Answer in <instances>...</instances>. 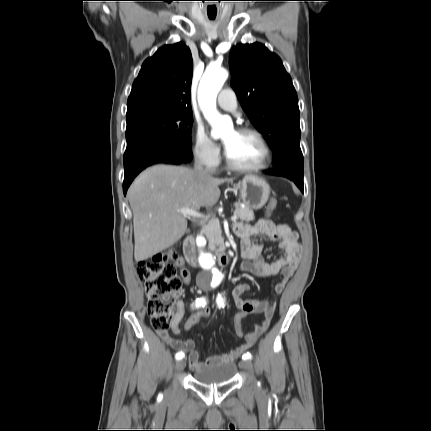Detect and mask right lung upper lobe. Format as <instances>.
<instances>
[{"label":"right lung upper lobe","instance_id":"cb5924a9","mask_svg":"<svg viewBox=\"0 0 431 431\" xmlns=\"http://www.w3.org/2000/svg\"><path fill=\"white\" fill-rule=\"evenodd\" d=\"M193 60L182 42L164 45L142 64L127 101V118L151 112H190Z\"/></svg>","mask_w":431,"mask_h":431}]
</instances>
